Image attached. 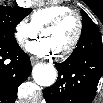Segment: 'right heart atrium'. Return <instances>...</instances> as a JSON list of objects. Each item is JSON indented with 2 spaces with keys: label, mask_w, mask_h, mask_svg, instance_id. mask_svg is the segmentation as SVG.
<instances>
[{
  "label": "right heart atrium",
  "mask_w": 103,
  "mask_h": 103,
  "mask_svg": "<svg viewBox=\"0 0 103 103\" xmlns=\"http://www.w3.org/2000/svg\"><path fill=\"white\" fill-rule=\"evenodd\" d=\"M39 30L27 20H20L14 28V37L18 45L24 46L27 42L33 39Z\"/></svg>",
  "instance_id": "1"
}]
</instances>
